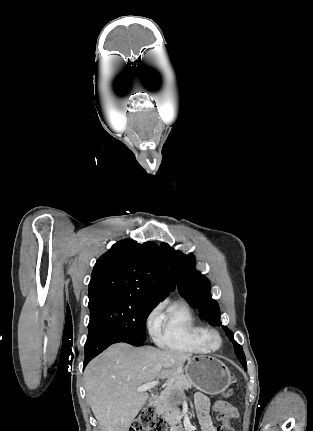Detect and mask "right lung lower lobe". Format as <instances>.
Returning a JSON list of instances; mask_svg holds the SVG:
<instances>
[{
	"label": "right lung lower lobe",
	"mask_w": 313,
	"mask_h": 431,
	"mask_svg": "<svg viewBox=\"0 0 313 431\" xmlns=\"http://www.w3.org/2000/svg\"><path fill=\"white\" fill-rule=\"evenodd\" d=\"M118 342H125L134 346L143 345V342L129 337L123 333L112 330H100L87 337V341L85 343V359L83 368H85L91 359L104 351L108 346Z\"/></svg>",
	"instance_id": "right-lung-lower-lobe-1"
}]
</instances>
